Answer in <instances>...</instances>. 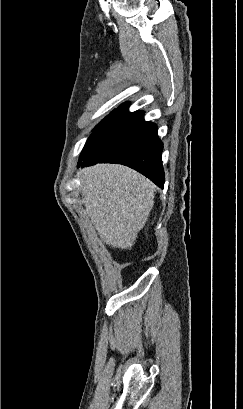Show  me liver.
I'll return each mask as SVG.
<instances>
[{
    "label": "liver",
    "mask_w": 243,
    "mask_h": 409,
    "mask_svg": "<svg viewBox=\"0 0 243 409\" xmlns=\"http://www.w3.org/2000/svg\"><path fill=\"white\" fill-rule=\"evenodd\" d=\"M85 212L109 246L130 249L154 205V184L135 170L96 164L77 172Z\"/></svg>",
    "instance_id": "obj_1"
}]
</instances>
